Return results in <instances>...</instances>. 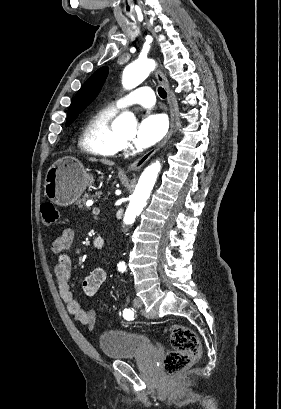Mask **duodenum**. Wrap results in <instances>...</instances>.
<instances>
[{"label": "duodenum", "mask_w": 281, "mask_h": 409, "mask_svg": "<svg viewBox=\"0 0 281 409\" xmlns=\"http://www.w3.org/2000/svg\"><path fill=\"white\" fill-rule=\"evenodd\" d=\"M95 249H98V245H95Z\"/></svg>", "instance_id": "1"}]
</instances>
